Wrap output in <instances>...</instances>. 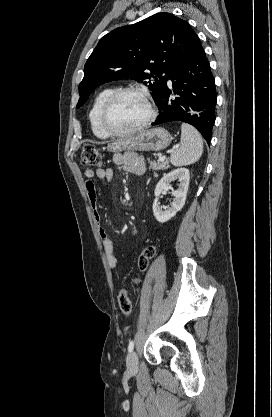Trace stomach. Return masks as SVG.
<instances>
[{
  "label": "stomach",
  "mask_w": 272,
  "mask_h": 417,
  "mask_svg": "<svg viewBox=\"0 0 272 417\" xmlns=\"http://www.w3.org/2000/svg\"><path fill=\"white\" fill-rule=\"evenodd\" d=\"M172 141L171 134L163 127H156L142 131L130 138L112 143L108 146L110 151H161L167 148Z\"/></svg>",
  "instance_id": "0dacf381"
}]
</instances>
